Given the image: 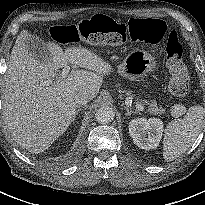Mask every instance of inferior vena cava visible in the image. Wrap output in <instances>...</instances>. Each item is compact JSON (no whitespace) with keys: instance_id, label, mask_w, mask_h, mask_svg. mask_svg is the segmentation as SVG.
Listing matches in <instances>:
<instances>
[{"instance_id":"obj_1","label":"inferior vena cava","mask_w":205,"mask_h":205,"mask_svg":"<svg viewBox=\"0 0 205 205\" xmlns=\"http://www.w3.org/2000/svg\"><path fill=\"white\" fill-rule=\"evenodd\" d=\"M92 99V96L87 92L78 93L75 96V103L78 106L87 104Z\"/></svg>"}]
</instances>
